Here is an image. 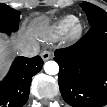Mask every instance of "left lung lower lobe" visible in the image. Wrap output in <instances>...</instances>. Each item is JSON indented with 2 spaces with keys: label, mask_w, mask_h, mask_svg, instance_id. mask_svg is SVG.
Wrapping results in <instances>:
<instances>
[{
  "label": "left lung lower lobe",
  "mask_w": 107,
  "mask_h": 107,
  "mask_svg": "<svg viewBox=\"0 0 107 107\" xmlns=\"http://www.w3.org/2000/svg\"><path fill=\"white\" fill-rule=\"evenodd\" d=\"M59 88L73 107H101L107 103V20L91 26L74 45L58 49Z\"/></svg>",
  "instance_id": "1"
}]
</instances>
